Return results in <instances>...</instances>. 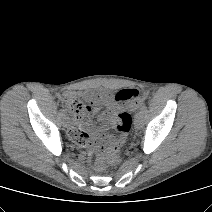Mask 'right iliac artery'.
Listing matches in <instances>:
<instances>
[{
	"mask_svg": "<svg viewBox=\"0 0 212 212\" xmlns=\"http://www.w3.org/2000/svg\"><path fill=\"white\" fill-rule=\"evenodd\" d=\"M61 116H63V117L65 116V113H64V111H62V112H61Z\"/></svg>",
	"mask_w": 212,
	"mask_h": 212,
	"instance_id": "1",
	"label": "right iliac artery"
}]
</instances>
